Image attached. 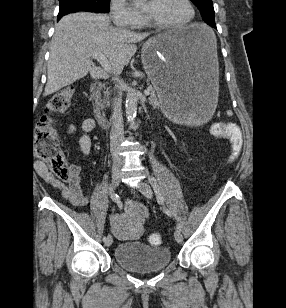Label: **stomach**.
I'll list each match as a JSON object with an SVG mask.
<instances>
[{
  "instance_id": "0dacf381",
  "label": "stomach",
  "mask_w": 286,
  "mask_h": 308,
  "mask_svg": "<svg viewBox=\"0 0 286 308\" xmlns=\"http://www.w3.org/2000/svg\"><path fill=\"white\" fill-rule=\"evenodd\" d=\"M141 58L160 107H168L174 125H204L205 107H215L219 76L213 31L192 24L159 34L145 43Z\"/></svg>"
}]
</instances>
